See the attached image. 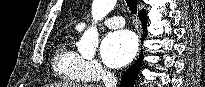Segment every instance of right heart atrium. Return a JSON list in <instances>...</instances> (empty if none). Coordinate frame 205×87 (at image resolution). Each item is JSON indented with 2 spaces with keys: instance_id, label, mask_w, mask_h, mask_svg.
Wrapping results in <instances>:
<instances>
[{
  "instance_id": "obj_1",
  "label": "right heart atrium",
  "mask_w": 205,
  "mask_h": 87,
  "mask_svg": "<svg viewBox=\"0 0 205 87\" xmlns=\"http://www.w3.org/2000/svg\"><path fill=\"white\" fill-rule=\"evenodd\" d=\"M81 71L87 79L91 80L97 79L106 73L101 64L94 59H83Z\"/></svg>"
}]
</instances>
